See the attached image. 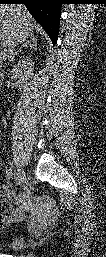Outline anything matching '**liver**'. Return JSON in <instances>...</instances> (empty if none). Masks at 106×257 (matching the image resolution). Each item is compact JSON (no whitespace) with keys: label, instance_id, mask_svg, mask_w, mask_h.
<instances>
[{"label":"liver","instance_id":"6515ba94","mask_svg":"<svg viewBox=\"0 0 106 257\" xmlns=\"http://www.w3.org/2000/svg\"><path fill=\"white\" fill-rule=\"evenodd\" d=\"M34 20L22 5H1L0 7V45L6 49L11 40L23 42L33 36Z\"/></svg>","mask_w":106,"mask_h":257}]
</instances>
